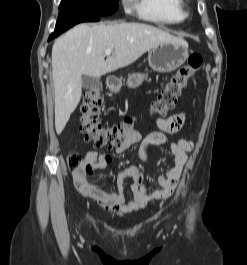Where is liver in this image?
Listing matches in <instances>:
<instances>
[{"label": "liver", "mask_w": 247, "mask_h": 265, "mask_svg": "<svg viewBox=\"0 0 247 265\" xmlns=\"http://www.w3.org/2000/svg\"><path fill=\"white\" fill-rule=\"evenodd\" d=\"M176 41L184 40L143 23L80 24L58 38L52 47L57 134L80 102L83 75L98 78L134 63L160 43ZM107 48L114 52L105 60Z\"/></svg>", "instance_id": "6515ba94"}]
</instances>
